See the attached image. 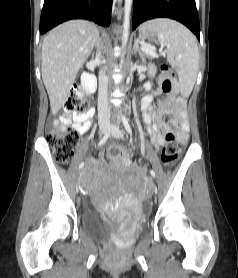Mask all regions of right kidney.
Segmentation results:
<instances>
[{
    "label": "right kidney",
    "mask_w": 238,
    "mask_h": 278,
    "mask_svg": "<svg viewBox=\"0 0 238 278\" xmlns=\"http://www.w3.org/2000/svg\"><path fill=\"white\" fill-rule=\"evenodd\" d=\"M81 85L88 93H94L97 88L96 78L89 73H82L81 75Z\"/></svg>",
    "instance_id": "1"
}]
</instances>
